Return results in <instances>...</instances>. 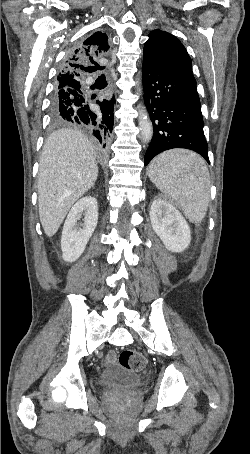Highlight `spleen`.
Listing matches in <instances>:
<instances>
[{
  "mask_svg": "<svg viewBox=\"0 0 250 454\" xmlns=\"http://www.w3.org/2000/svg\"><path fill=\"white\" fill-rule=\"evenodd\" d=\"M148 175L161 192L175 201L189 221L203 220L210 199V175L199 155L180 149L166 151L152 160Z\"/></svg>",
  "mask_w": 250,
  "mask_h": 454,
  "instance_id": "spleen-1",
  "label": "spleen"
}]
</instances>
